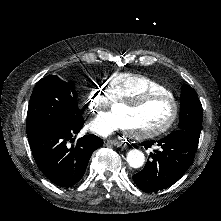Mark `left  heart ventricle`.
Returning <instances> with one entry per match:
<instances>
[{"label":"left heart ventricle","mask_w":221,"mask_h":221,"mask_svg":"<svg viewBox=\"0 0 221 221\" xmlns=\"http://www.w3.org/2000/svg\"><path fill=\"white\" fill-rule=\"evenodd\" d=\"M170 116L169 106L166 102L152 100L149 103H141L137 117L132 124H154L158 120H165Z\"/></svg>","instance_id":"1"}]
</instances>
